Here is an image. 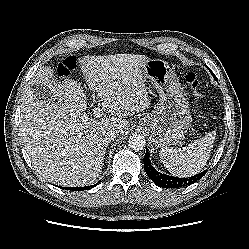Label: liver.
<instances>
[{"instance_id":"obj_1","label":"liver","mask_w":249,"mask_h":249,"mask_svg":"<svg viewBox=\"0 0 249 249\" xmlns=\"http://www.w3.org/2000/svg\"><path fill=\"white\" fill-rule=\"evenodd\" d=\"M145 55L85 56L80 68L91 91L110 114L100 119L86 113L87 98L77 81L55 83L54 69L43 67L31 79L20 105L23 143L38 173L61 186L91 184L99 176L110 139L116 129L123 136L129 129L125 118L148 108L143 80ZM40 84L53 101L39 99L32 86Z\"/></svg>"}]
</instances>
